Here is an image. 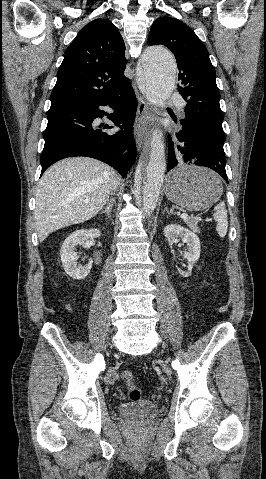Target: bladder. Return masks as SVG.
<instances>
[{
	"instance_id": "bladder-1",
	"label": "bladder",
	"mask_w": 266,
	"mask_h": 479,
	"mask_svg": "<svg viewBox=\"0 0 266 479\" xmlns=\"http://www.w3.org/2000/svg\"><path fill=\"white\" fill-rule=\"evenodd\" d=\"M120 414L134 418H152L158 412V406L150 401H128L119 406Z\"/></svg>"
}]
</instances>
